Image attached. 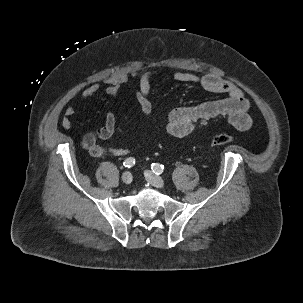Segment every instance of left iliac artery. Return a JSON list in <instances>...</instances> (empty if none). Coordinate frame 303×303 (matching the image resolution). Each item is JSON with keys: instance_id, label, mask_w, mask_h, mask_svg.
Returning a JSON list of instances; mask_svg holds the SVG:
<instances>
[{"instance_id": "left-iliac-artery-1", "label": "left iliac artery", "mask_w": 303, "mask_h": 303, "mask_svg": "<svg viewBox=\"0 0 303 303\" xmlns=\"http://www.w3.org/2000/svg\"><path fill=\"white\" fill-rule=\"evenodd\" d=\"M151 169H152V171H153L155 174L159 175V174H161V173L163 172L164 166H163V165H160V164H158V163H152Z\"/></svg>"}]
</instances>
